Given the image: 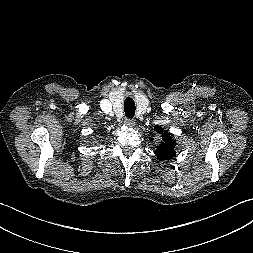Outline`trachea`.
Listing matches in <instances>:
<instances>
[{
    "label": "trachea",
    "instance_id": "obj_1",
    "mask_svg": "<svg viewBox=\"0 0 253 253\" xmlns=\"http://www.w3.org/2000/svg\"><path fill=\"white\" fill-rule=\"evenodd\" d=\"M124 112L129 119L135 115V102L130 97H127L124 101Z\"/></svg>",
    "mask_w": 253,
    "mask_h": 253
}]
</instances>
